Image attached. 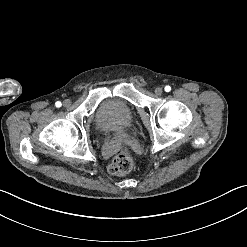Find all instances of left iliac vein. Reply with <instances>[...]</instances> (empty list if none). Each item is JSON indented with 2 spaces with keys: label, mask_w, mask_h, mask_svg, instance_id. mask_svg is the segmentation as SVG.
<instances>
[{
  "label": "left iliac vein",
  "mask_w": 247,
  "mask_h": 247,
  "mask_svg": "<svg viewBox=\"0 0 247 247\" xmlns=\"http://www.w3.org/2000/svg\"><path fill=\"white\" fill-rule=\"evenodd\" d=\"M154 92L157 96H160L163 93V89L161 87H156Z\"/></svg>",
  "instance_id": "4c4485c4"
}]
</instances>
